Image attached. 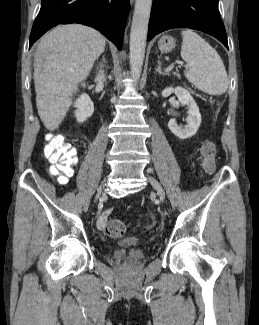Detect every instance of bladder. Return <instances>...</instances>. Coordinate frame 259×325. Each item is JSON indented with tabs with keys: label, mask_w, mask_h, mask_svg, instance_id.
I'll use <instances>...</instances> for the list:
<instances>
[{
	"label": "bladder",
	"mask_w": 259,
	"mask_h": 325,
	"mask_svg": "<svg viewBox=\"0 0 259 325\" xmlns=\"http://www.w3.org/2000/svg\"><path fill=\"white\" fill-rule=\"evenodd\" d=\"M142 242L135 237H127L118 242V245L123 247H134L139 246Z\"/></svg>",
	"instance_id": "obj_1"
}]
</instances>
